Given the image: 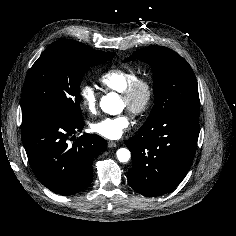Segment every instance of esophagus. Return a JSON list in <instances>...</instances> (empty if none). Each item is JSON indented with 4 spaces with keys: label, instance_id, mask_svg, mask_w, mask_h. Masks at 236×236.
I'll return each instance as SVG.
<instances>
[{
    "label": "esophagus",
    "instance_id": "esophagus-1",
    "mask_svg": "<svg viewBox=\"0 0 236 236\" xmlns=\"http://www.w3.org/2000/svg\"><path fill=\"white\" fill-rule=\"evenodd\" d=\"M117 146V143L116 142H114V141H108V147L109 148H114V147H116Z\"/></svg>",
    "mask_w": 236,
    "mask_h": 236
}]
</instances>
